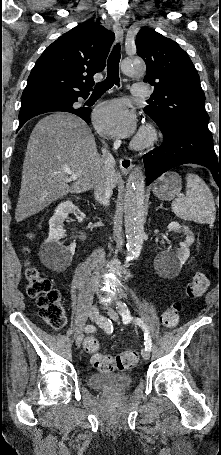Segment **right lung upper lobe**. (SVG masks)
I'll return each instance as SVG.
<instances>
[{
    "instance_id": "1",
    "label": "right lung upper lobe",
    "mask_w": 221,
    "mask_h": 455,
    "mask_svg": "<svg viewBox=\"0 0 221 455\" xmlns=\"http://www.w3.org/2000/svg\"><path fill=\"white\" fill-rule=\"evenodd\" d=\"M114 38L112 31L93 22L64 33L37 60L22 94L20 111L88 94L93 75L105 67Z\"/></svg>"
}]
</instances>
